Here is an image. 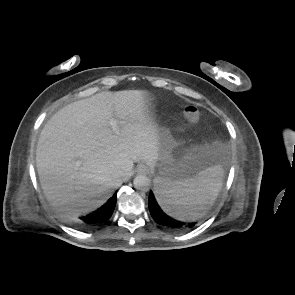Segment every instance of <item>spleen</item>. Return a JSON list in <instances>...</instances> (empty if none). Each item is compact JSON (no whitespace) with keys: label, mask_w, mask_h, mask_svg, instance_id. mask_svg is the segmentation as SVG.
I'll use <instances>...</instances> for the list:
<instances>
[{"label":"spleen","mask_w":295,"mask_h":295,"mask_svg":"<svg viewBox=\"0 0 295 295\" xmlns=\"http://www.w3.org/2000/svg\"><path fill=\"white\" fill-rule=\"evenodd\" d=\"M224 170L220 165L203 170L195 178L155 180V195L167 214L183 221L201 218L217 198Z\"/></svg>","instance_id":"1"}]
</instances>
